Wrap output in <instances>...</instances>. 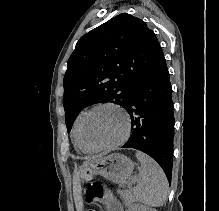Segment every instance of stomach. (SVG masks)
Segmentation results:
<instances>
[{
  "instance_id": "obj_1",
  "label": "stomach",
  "mask_w": 219,
  "mask_h": 211,
  "mask_svg": "<svg viewBox=\"0 0 219 211\" xmlns=\"http://www.w3.org/2000/svg\"><path fill=\"white\" fill-rule=\"evenodd\" d=\"M133 168L134 164L130 158L120 153H113L84 162L79 167L78 174L87 182L94 176L100 175L114 183H122L131 176Z\"/></svg>"
}]
</instances>
